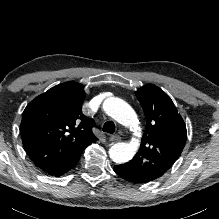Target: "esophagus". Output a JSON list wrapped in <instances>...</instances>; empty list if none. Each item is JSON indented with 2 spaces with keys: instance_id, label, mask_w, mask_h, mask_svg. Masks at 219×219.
I'll use <instances>...</instances> for the list:
<instances>
[{
  "instance_id": "34e87169",
  "label": "esophagus",
  "mask_w": 219,
  "mask_h": 219,
  "mask_svg": "<svg viewBox=\"0 0 219 219\" xmlns=\"http://www.w3.org/2000/svg\"><path fill=\"white\" fill-rule=\"evenodd\" d=\"M109 140L112 141V142H118L121 140V137L119 135H111L109 137Z\"/></svg>"
}]
</instances>
